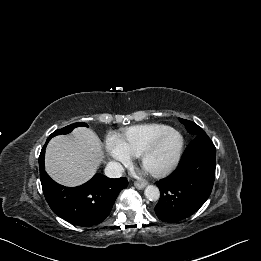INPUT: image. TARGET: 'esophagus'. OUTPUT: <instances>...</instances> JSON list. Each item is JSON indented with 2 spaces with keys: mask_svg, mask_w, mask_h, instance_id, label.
Instances as JSON below:
<instances>
[{
  "mask_svg": "<svg viewBox=\"0 0 261 261\" xmlns=\"http://www.w3.org/2000/svg\"><path fill=\"white\" fill-rule=\"evenodd\" d=\"M134 186H135L137 189L141 190V189H143V188L146 186V184H145V183L135 182Z\"/></svg>",
  "mask_w": 261,
  "mask_h": 261,
  "instance_id": "34e87169",
  "label": "esophagus"
}]
</instances>
